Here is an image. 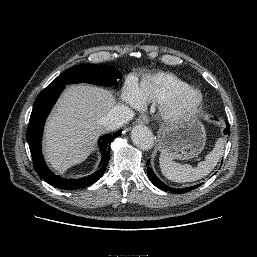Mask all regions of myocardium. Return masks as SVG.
I'll return each mask as SVG.
<instances>
[{
	"label": "myocardium",
	"mask_w": 257,
	"mask_h": 257,
	"mask_svg": "<svg viewBox=\"0 0 257 257\" xmlns=\"http://www.w3.org/2000/svg\"><path fill=\"white\" fill-rule=\"evenodd\" d=\"M188 95H194L195 100L190 106H183L182 100ZM204 102L202 91L194 86H186L173 92L163 104L164 116L170 121H179L194 116Z\"/></svg>",
	"instance_id": "myocardium-1"
}]
</instances>
